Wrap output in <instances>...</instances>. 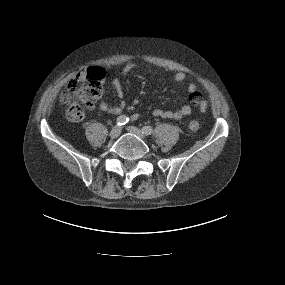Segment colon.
Here are the masks:
<instances>
[{
    "label": "colon",
    "mask_w": 285,
    "mask_h": 285,
    "mask_svg": "<svg viewBox=\"0 0 285 285\" xmlns=\"http://www.w3.org/2000/svg\"><path fill=\"white\" fill-rule=\"evenodd\" d=\"M104 71L100 67H88L69 81L61 96L67 105V116L72 121H81L85 109L93 106V100L99 98L103 91ZM199 122L192 120L188 124L189 131H197Z\"/></svg>",
    "instance_id": "colon-1"
}]
</instances>
